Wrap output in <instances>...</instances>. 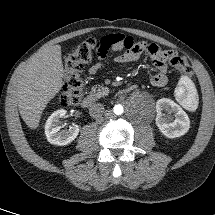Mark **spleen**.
Segmentation results:
<instances>
[{
  "label": "spleen",
  "instance_id": "3e777b00",
  "mask_svg": "<svg viewBox=\"0 0 215 215\" xmlns=\"http://www.w3.org/2000/svg\"><path fill=\"white\" fill-rule=\"evenodd\" d=\"M185 91L188 92V95L186 98H182ZM175 95L177 100L186 108L188 109L195 108L197 104L196 90L194 84L189 78L187 77L181 78L178 87L175 90Z\"/></svg>",
  "mask_w": 215,
  "mask_h": 215
}]
</instances>
